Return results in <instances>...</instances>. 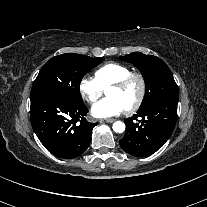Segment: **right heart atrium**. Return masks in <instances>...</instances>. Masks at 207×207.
Returning <instances> with one entry per match:
<instances>
[{
  "instance_id": "obj_1",
  "label": "right heart atrium",
  "mask_w": 207,
  "mask_h": 207,
  "mask_svg": "<svg viewBox=\"0 0 207 207\" xmlns=\"http://www.w3.org/2000/svg\"><path fill=\"white\" fill-rule=\"evenodd\" d=\"M79 92L82 98L89 102L94 103L102 95L103 88L93 77H85L79 83Z\"/></svg>"
}]
</instances>
